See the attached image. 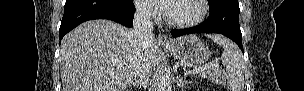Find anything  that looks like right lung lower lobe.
<instances>
[{"instance_id":"right-lung-lower-lobe-1","label":"right lung lower lobe","mask_w":304,"mask_h":91,"mask_svg":"<svg viewBox=\"0 0 304 91\" xmlns=\"http://www.w3.org/2000/svg\"><path fill=\"white\" fill-rule=\"evenodd\" d=\"M135 6L132 0H66L60 39L82 22L109 19L126 27L133 26Z\"/></svg>"}]
</instances>
